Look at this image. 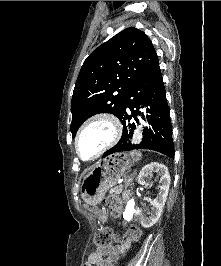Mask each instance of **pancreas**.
<instances>
[{
    "mask_svg": "<svg viewBox=\"0 0 221 266\" xmlns=\"http://www.w3.org/2000/svg\"><path fill=\"white\" fill-rule=\"evenodd\" d=\"M122 190H123V186L120 185V186H117V187H114L110 190V193L111 194H115V195H118L120 193H122Z\"/></svg>",
    "mask_w": 221,
    "mask_h": 266,
    "instance_id": "obj_1",
    "label": "pancreas"
}]
</instances>
